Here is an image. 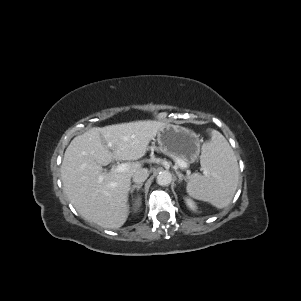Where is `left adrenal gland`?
Instances as JSON below:
<instances>
[{"label": "left adrenal gland", "mask_w": 301, "mask_h": 301, "mask_svg": "<svg viewBox=\"0 0 301 301\" xmlns=\"http://www.w3.org/2000/svg\"><path fill=\"white\" fill-rule=\"evenodd\" d=\"M176 174L178 175L179 183L182 182V180L186 181V177L181 172L176 171Z\"/></svg>", "instance_id": "obj_1"}]
</instances>
